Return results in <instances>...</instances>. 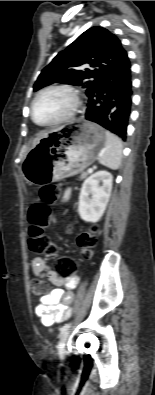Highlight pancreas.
Here are the masks:
<instances>
[{
  "mask_svg": "<svg viewBox=\"0 0 155 395\" xmlns=\"http://www.w3.org/2000/svg\"><path fill=\"white\" fill-rule=\"evenodd\" d=\"M88 174L86 172H83L80 176L81 179L85 178Z\"/></svg>",
  "mask_w": 155,
  "mask_h": 395,
  "instance_id": "cf45deb5",
  "label": "pancreas"
}]
</instances>
